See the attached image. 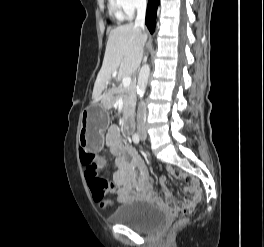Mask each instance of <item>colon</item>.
<instances>
[{"label": "colon", "instance_id": "5ec220e1", "mask_svg": "<svg viewBox=\"0 0 264 247\" xmlns=\"http://www.w3.org/2000/svg\"><path fill=\"white\" fill-rule=\"evenodd\" d=\"M81 162L86 165L85 177L87 179L88 186L91 190L93 199L107 206L111 203L109 194L111 192V183L108 179L102 177L98 172L97 157L94 153L81 154ZM200 196L193 194L186 196L182 201L175 202L172 205V214L176 217H182L191 213L196 207ZM183 219L180 220L182 222Z\"/></svg>", "mask_w": 264, "mask_h": 247}]
</instances>
